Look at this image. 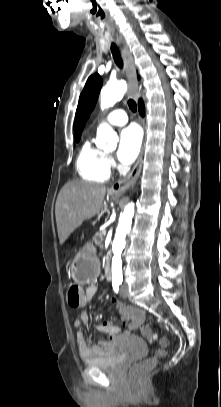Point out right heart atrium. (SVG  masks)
Here are the masks:
<instances>
[{
  "instance_id": "obj_1",
  "label": "right heart atrium",
  "mask_w": 221,
  "mask_h": 407,
  "mask_svg": "<svg viewBox=\"0 0 221 407\" xmlns=\"http://www.w3.org/2000/svg\"><path fill=\"white\" fill-rule=\"evenodd\" d=\"M107 164H108L109 168H113L115 166V162L112 157L107 156Z\"/></svg>"
}]
</instances>
